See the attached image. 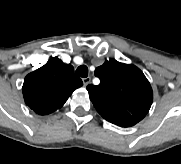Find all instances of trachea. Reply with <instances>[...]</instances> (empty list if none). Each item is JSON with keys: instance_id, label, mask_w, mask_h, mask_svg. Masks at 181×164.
I'll list each match as a JSON object with an SVG mask.
<instances>
[{"instance_id": "trachea-1", "label": "trachea", "mask_w": 181, "mask_h": 164, "mask_svg": "<svg viewBox=\"0 0 181 164\" xmlns=\"http://www.w3.org/2000/svg\"><path fill=\"white\" fill-rule=\"evenodd\" d=\"M76 74L80 77L86 78L88 76V68L86 65H81L76 69Z\"/></svg>"}]
</instances>
